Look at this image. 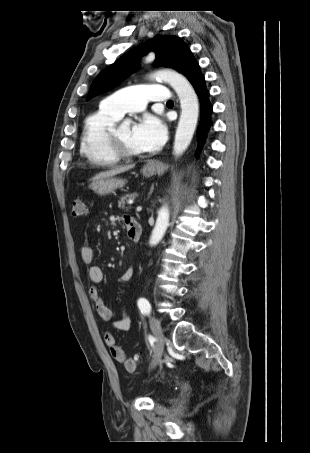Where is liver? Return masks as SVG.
I'll list each match as a JSON object with an SVG mask.
<instances>
[{
	"mask_svg": "<svg viewBox=\"0 0 310 453\" xmlns=\"http://www.w3.org/2000/svg\"><path fill=\"white\" fill-rule=\"evenodd\" d=\"M132 168H134V165L118 166V167L112 168L110 170L103 171V172H100V173L96 174L92 178V180L96 181V180H99V179L112 177V176H114L116 174L124 173V172H126V171H128V170H130Z\"/></svg>",
	"mask_w": 310,
	"mask_h": 453,
	"instance_id": "6515ba94",
	"label": "liver"
}]
</instances>
